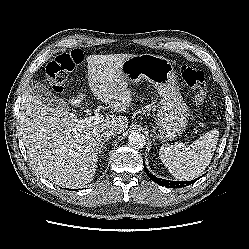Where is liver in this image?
Here are the masks:
<instances>
[{"mask_svg":"<svg viewBox=\"0 0 249 249\" xmlns=\"http://www.w3.org/2000/svg\"><path fill=\"white\" fill-rule=\"evenodd\" d=\"M132 54L90 55L87 57L88 85L94 96L107 108L122 113L132 103L129 83L120 66ZM83 93L70 103L79 106ZM77 117L68 110L49 106L27 90L21 98L19 126L22 141L36 171L52 183L78 188L90 183L95 175L102 131L115 127L120 133L128 128L125 116L110 115L97 124L79 127Z\"/></svg>","mask_w":249,"mask_h":249,"instance_id":"1","label":"liver"}]
</instances>
